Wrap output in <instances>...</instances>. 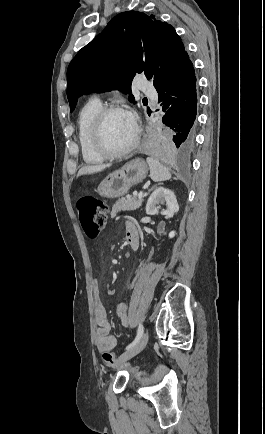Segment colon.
<instances>
[{
	"label": "colon",
	"instance_id": "5ec220e1",
	"mask_svg": "<svg viewBox=\"0 0 265 434\" xmlns=\"http://www.w3.org/2000/svg\"><path fill=\"white\" fill-rule=\"evenodd\" d=\"M75 209L85 237L91 240L96 239L106 221V205L100 199L83 197L75 202ZM103 354L102 358H104L106 365H112L115 361H119V358L111 355L113 351L108 353V348L103 351ZM127 363L130 365L132 362L129 360ZM113 367L118 369L120 366L115 364Z\"/></svg>",
	"mask_w": 265,
	"mask_h": 434
}]
</instances>
